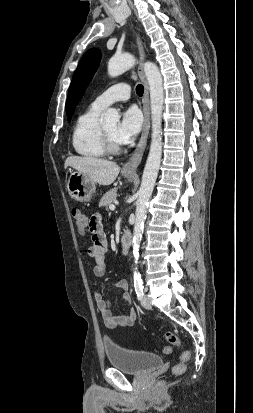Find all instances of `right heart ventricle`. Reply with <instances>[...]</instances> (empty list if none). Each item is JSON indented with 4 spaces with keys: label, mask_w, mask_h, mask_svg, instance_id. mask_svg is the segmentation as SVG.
Here are the masks:
<instances>
[{
    "label": "right heart ventricle",
    "mask_w": 253,
    "mask_h": 413,
    "mask_svg": "<svg viewBox=\"0 0 253 413\" xmlns=\"http://www.w3.org/2000/svg\"><path fill=\"white\" fill-rule=\"evenodd\" d=\"M103 109L94 105L80 114L75 122L72 133L74 151L85 158L96 159L105 155L100 136V114Z\"/></svg>",
    "instance_id": "obj_1"
}]
</instances>
